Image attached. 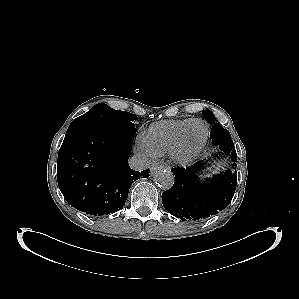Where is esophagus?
I'll use <instances>...</instances> for the list:
<instances>
[{
  "mask_svg": "<svg viewBox=\"0 0 299 299\" xmlns=\"http://www.w3.org/2000/svg\"><path fill=\"white\" fill-rule=\"evenodd\" d=\"M164 168V166L163 165H160V164H155V165H153L152 167H151V171H150V175L151 176H153L154 175V173L156 172V171H158V170H162Z\"/></svg>",
  "mask_w": 299,
  "mask_h": 299,
  "instance_id": "esophagus-1",
  "label": "esophagus"
}]
</instances>
